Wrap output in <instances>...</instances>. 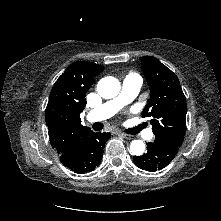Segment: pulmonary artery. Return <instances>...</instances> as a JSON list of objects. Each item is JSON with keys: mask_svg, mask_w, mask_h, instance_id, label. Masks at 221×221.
I'll use <instances>...</instances> for the list:
<instances>
[{"mask_svg": "<svg viewBox=\"0 0 221 221\" xmlns=\"http://www.w3.org/2000/svg\"><path fill=\"white\" fill-rule=\"evenodd\" d=\"M141 86L142 78L139 75H128L122 83V90L120 94L116 98L93 109L88 114V119L90 121H101L112 117L124 105L131 102L138 95ZM147 137L151 138L152 133L148 132Z\"/></svg>", "mask_w": 221, "mask_h": 221, "instance_id": "pulmonary-artery-1", "label": "pulmonary artery"}]
</instances>
